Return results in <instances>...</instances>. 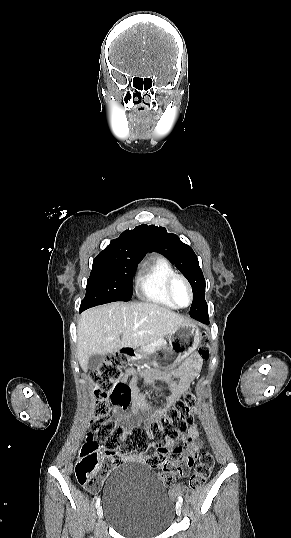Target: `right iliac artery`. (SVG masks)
<instances>
[{"label": "right iliac artery", "instance_id": "82829eb1", "mask_svg": "<svg viewBox=\"0 0 291 538\" xmlns=\"http://www.w3.org/2000/svg\"><path fill=\"white\" fill-rule=\"evenodd\" d=\"M100 505V498H97L96 500V507H98Z\"/></svg>", "mask_w": 291, "mask_h": 538}]
</instances>
